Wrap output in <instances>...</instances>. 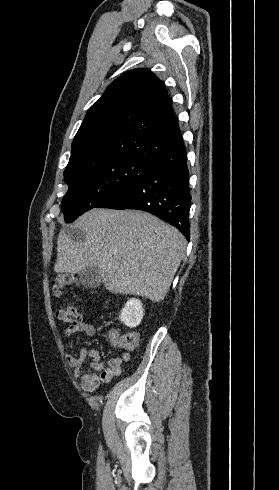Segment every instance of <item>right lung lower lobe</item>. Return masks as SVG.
Returning <instances> with one entry per match:
<instances>
[{
    "mask_svg": "<svg viewBox=\"0 0 279 490\" xmlns=\"http://www.w3.org/2000/svg\"><path fill=\"white\" fill-rule=\"evenodd\" d=\"M152 163L141 178L111 193L96 208L149 212L178 228L189 241L191 194L184 144Z\"/></svg>",
    "mask_w": 279,
    "mask_h": 490,
    "instance_id": "98d812e1",
    "label": "right lung lower lobe"
}]
</instances>
